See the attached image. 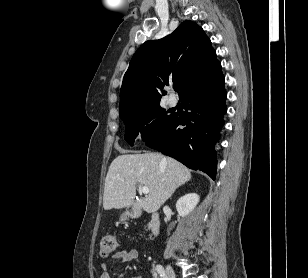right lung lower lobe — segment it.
I'll return each mask as SVG.
<instances>
[{
    "label": "right lung lower lobe",
    "mask_w": 308,
    "mask_h": 278,
    "mask_svg": "<svg viewBox=\"0 0 308 278\" xmlns=\"http://www.w3.org/2000/svg\"><path fill=\"white\" fill-rule=\"evenodd\" d=\"M224 76L187 92L181 99L184 118L174 115L171 122L147 145L171 156L191 169H200L213 180L216 174L215 143L226 112ZM179 125L186 126L183 129Z\"/></svg>",
    "instance_id": "right-lung-lower-lobe-1"
}]
</instances>
